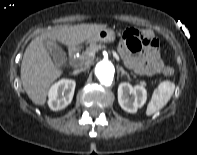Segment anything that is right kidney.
Segmentation results:
<instances>
[{"instance_id": "ca27d5eb", "label": "right kidney", "mask_w": 197, "mask_h": 155, "mask_svg": "<svg viewBox=\"0 0 197 155\" xmlns=\"http://www.w3.org/2000/svg\"><path fill=\"white\" fill-rule=\"evenodd\" d=\"M76 82L71 79H61L53 84L49 90L48 105L51 110L64 109L71 103L74 95Z\"/></svg>"}]
</instances>
